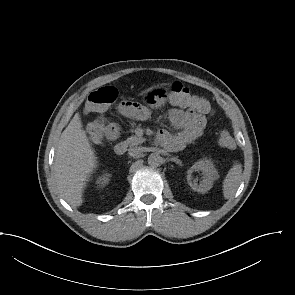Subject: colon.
<instances>
[{
  "mask_svg": "<svg viewBox=\"0 0 295 295\" xmlns=\"http://www.w3.org/2000/svg\"><path fill=\"white\" fill-rule=\"evenodd\" d=\"M118 92L114 87H103L92 92L86 101L85 110L89 113H96L103 115L107 112L109 107L116 101ZM171 100L186 107L194 108L202 114H209L211 106L207 99L194 94L189 88L180 82L171 84ZM90 140L95 144H102L107 137V124L103 117L94 121L88 129ZM218 143L226 149H234L236 142L231 132L224 129L218 135Z\"/></svg>",
  "mask_w": 295,
  "mask_h": 295,
  "instance_id": "5ec220e1",
  "label": "colon"
}]
</instances>
